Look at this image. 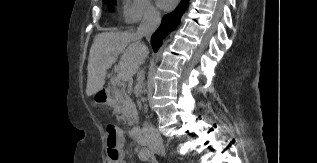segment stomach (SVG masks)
I'll return each mask as SVG.
<instances>
[{"instance_id": "0dacf381", "label": "stomach", "mask_w": 317, "mask_h": 163, "mask_svg": "<svg viewBox=\"0 0 317 163\" xmlns=\"http://www.w3.org/2000/svg\"><path fill=\"white\" fill-rule=\"evenodd\" d=\"M92 101L96 105H104L108 101V96L105 91L100 90L93 94Z\"/></svg>"}]
</instances>
